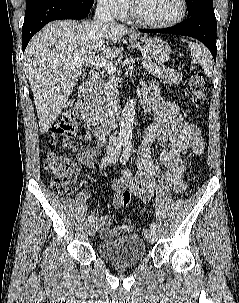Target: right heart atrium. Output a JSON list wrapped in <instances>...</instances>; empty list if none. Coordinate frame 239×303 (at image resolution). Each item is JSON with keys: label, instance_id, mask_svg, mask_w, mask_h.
I'll return each mask as SVG.
<instances>
[{"label": "right heart atrium", "instance_id": "d8ad5b80", "mask_svg": "<svg viewBox=\"0 0 239 303\" xmlns=\"http://www.w3.org/2000/svg\"><path fill=\"white\" fill-rule=\"evenodd\" d=\"M100 7L111 15L123 18L129 10L128 0H96Z\"/></svg>", "mask_w": 239, "mask_h": 303}]
</instances>
